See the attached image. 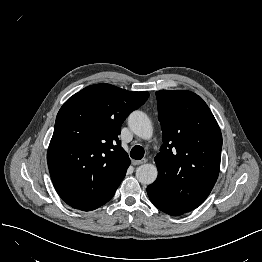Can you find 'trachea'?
Instances as JSON below:
<instances>
[{"mask_svg":"<svg viewBox=\"0 0 262 262\" xmlns=\"http://www.w3.org/2000/svg\"><path fill=\"white\" fill-rule=\"evenodd\" d=\"M131 157L136 160H140L144 156V149L142 146L136 145L131 149Z\"/></svg>","mask_w":262,"mask_h":262,"instance_id":"obj_1","label":"trachea"}]
</instances>
